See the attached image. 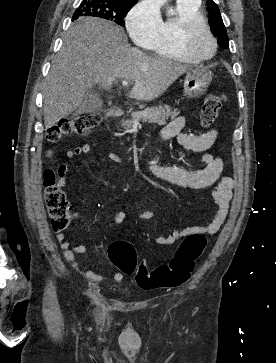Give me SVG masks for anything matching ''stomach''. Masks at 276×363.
Wrapping results in <instances>:
<instances>
[{
	"label": "stomach",
	"mask_w": 276,
	"mask_h": 363,
	"mask_svg": "<svg viewBox=\"0 0 276 363\" xmlns=\"http://www.w3.org/2000/svg\"><path fill=\"white\" fill-rule=\"evenodd\" d=\"M212 80L211 74L205 69H191L184 79V95L187 98L202 96Z\"/></svg>",
	"instance_id": "obj_1"
}]
</instances>
